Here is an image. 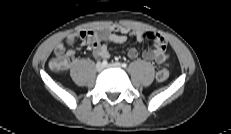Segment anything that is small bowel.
<instances>
[{
	"instance_id": "1",
	"label": "small bowel",
	"mask_w": 231,
	"mask_h": 134,
	"mask_svg": "<svg viewBox=\"0 0 231 134\" xmlns=\"http://www.w3.org/2000/svg\"><path fill=\"white\" fill-rule=\"evenodd\" d=\"M130 35L135 36L138 41H150L153 43L152 48H147L142 52V58L145 61L161 64L169 59L167 42L160 34L152 31L115 26L97 31H77L71 33L57 44L54 54L55 56H66L70 60L69 65L75 63V51L72 49L66 51V46L73 45L76 39H80L83 45H87L91 49L95 57L108 59L111 56L109 43H124ZM127 55L131 59H136L140 52L137 48H131Z\"/></svg>"
}]
</instances>
